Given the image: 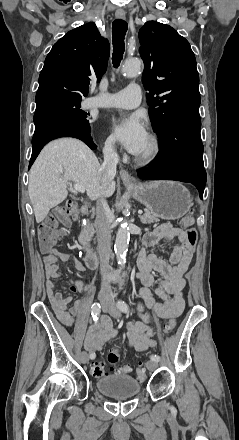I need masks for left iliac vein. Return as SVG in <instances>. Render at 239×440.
<instances>
[{"mask_svg": "<svg viewBox=\"0 0 239 440\" xmlns=\"http://www.w3.org/2000/svg\"><path fill=\"white\" fill-rule=\"evenodd\" d=\"M109 309L107 310V312L114 318H119L121 313L119 311V309L117 308L116 304L114 302L109 303ZM146 367L148 368V370L150 371H154L158 368V362L154 361V360H150L146 363Z\"/></svg>", "mask_w": 239, "mask_h": 440, "instance_id": "left-iliac-vein-1", "label": "left iliac vein"}]
</instances>
